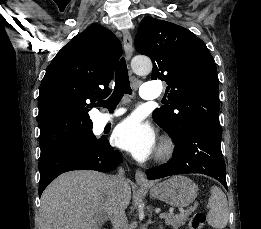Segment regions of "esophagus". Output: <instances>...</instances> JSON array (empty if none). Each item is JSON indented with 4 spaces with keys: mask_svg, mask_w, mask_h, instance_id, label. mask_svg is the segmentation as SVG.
<instances>
[{
    "mask_svg": "<svg viewBox=\"0 0 261 229\" xmlns=\"http://www.w3.org/2000/svg\"><path fill=\"white\" fill-rule=\"evenodd\" d=\"M122 36H123V44H124L126 59L130 60L132 53H133L132 37L127 30H123ZM135 180H136L137 184H139V185H144V186H150L151 185V182L146 178V175L141 170L136 171Z\"/></svg>",
    "mask_w": 261,
    "mask_h": 229,
    "instance_id": "esophagus-1",
    "label": "esophagus"
}]
</instances>
